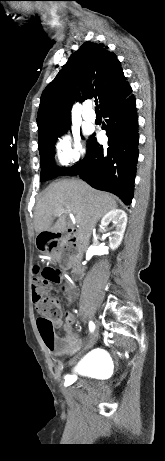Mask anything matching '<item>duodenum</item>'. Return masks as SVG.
Wrapping results in <instances>:
<instances>
[{
	"label": "duodenum",
	"mask_w": 165,
	"mask_h": 461,
	"mask_svg": "<svg viewBox=\"0 0 165 461\" xmlns=\"http://www.w3.org/2000/svg\"><path fill=\"white\" fill-rule=\"evenodd\" d=\"M54 236L56 238H58L59 240L64 241L66 243H72V244L78 245V242H77V240L75 238V235H74V231L71 230V229L61 231V232H57ZM79 252H80V250H79Z\"/></svg>",
	"instance_id": "duodenum-1"
}]
</instances>
